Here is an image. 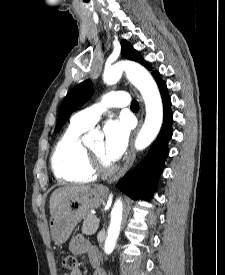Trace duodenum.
Masks as SVG:
<instances>
[{
    "label": "duodenum",
    "mask_w": 225,
    "mask_h": 275,
    "mask_svg": "<svg viewBox=\"0 0 225 275\" xmlns=\"http://www.w3.org/2000/svg\"><path fill=\"white\" fill-rule=\"evenodd\" d=\"M92 265H93L95 268H98V265H99L98 260L92 261Z\"/></svg>",
    "instance_id": "410a0bca"
}]
</instances>
